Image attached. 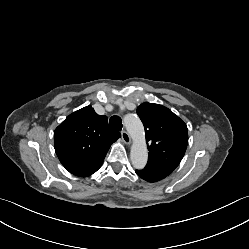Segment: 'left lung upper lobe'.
I'll use <instances>...</instances> for the list:
<instances>
[{
	"label": "left lung upper lobe",
	"instance_id": "1",
	"mask_svg": "<svg viewBox=\"0 0 249 249\" xmlns=\"http://www.w3.org/2000/svg\"><path fill=\"white\" fill-rule=\"evenodd\" d=\"M144 128L149 157L145 171L163 178L181 162L188 144L186 124L170 109L153 103L137 108Z\"/></svg>",
	"mask_w": 249,
	"mask_h": 249
}]
</instances>
